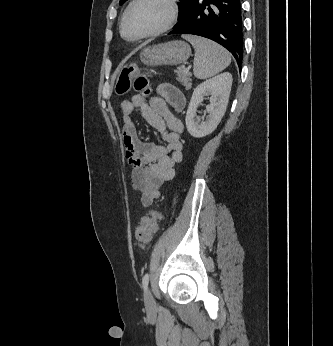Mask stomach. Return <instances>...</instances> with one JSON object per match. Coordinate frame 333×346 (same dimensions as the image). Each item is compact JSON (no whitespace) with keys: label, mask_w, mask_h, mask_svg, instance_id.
<instances>
[{"label":"stomach","mask_w":333,"mask_h":346,"mask_svg":"<svg viewBox=\"0 0 333 346\" xmlns=\"http://www.w3.org/2000/svg\"><path fill=\"white\" fill-rule=\"evenodd\" d=\"M191 55L190 46L184 41L146 47L140 54V60L147 66L178 65L184 63Z\"/></svg>","instance_id":"obj_1"}]
</instances>
